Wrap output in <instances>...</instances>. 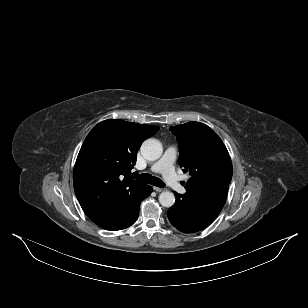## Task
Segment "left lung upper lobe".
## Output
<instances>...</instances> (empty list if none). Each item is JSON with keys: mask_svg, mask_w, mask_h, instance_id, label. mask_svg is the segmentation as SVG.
<instances>
[{"mask_svg": "<svg viewBox=\"0 0 308 308\" xmlns=\"http://www.w3.org/2000/svg\"><path fill=\"white\" fill-rule=\"evenodd\" d=\"M179 144V165L189 172L186 196L228 186L233 169L229 153L220 137L207 125L188 122L170 127Z\"/></svg>", "mask_w": 308, "mask_h": 308, "instance_id": "5c2ea615", "label": "left lung upper lobe"}]
</instances>
